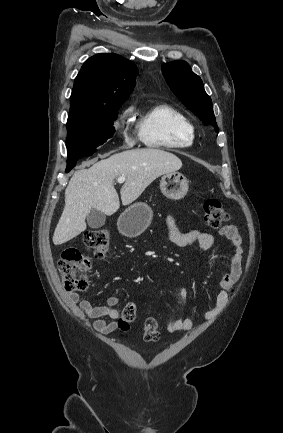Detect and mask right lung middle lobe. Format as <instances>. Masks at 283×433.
Returning <instances> with one entry per match:
<instances>
[{"label":"right lung middle lobe","mask_w":283,"mask_h":433,"mask_svg":"<svg viewBox=\"0 0 283 433\" xmlns=\"http://www.w3.org/2000/svg\"><path fill=\"white\" fill-rule=\"evenodd\" d=\"M121 105L70 109L67 120L68 157L91 155L115 131L113 123Z\"/></svg>","instance_id":"obj_1"}]
</instances>
